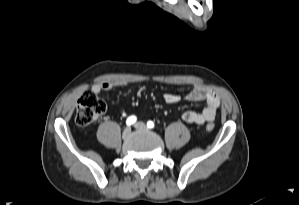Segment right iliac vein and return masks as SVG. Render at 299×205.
Here are the masks:
<instances>
[{"mask_svg":"<svg viewBox=\"0 0 299 205\" xmlns=\"http://www.w3.org/2000/svg\"><path fill=\"white\" fill-rule=\"evenodd\" d=\"M130 133H131V129L129 127L125 128L124 131H123V133H122V138L123 139L128 138L129 135H130Z\"/></svg>","mask_w":299,"mask_h":205,"instance_id":"1","label":"right iliac vein"}]
</instances>
